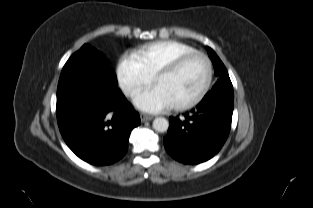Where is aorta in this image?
<instances>
[{
	"label": "aorta",
	"mask_w": 313,
	"mask_h": 208,
	"mask_svg": "<svg viewBox=\"0 0 313 208\" xmlns=\"http://www.w3.org/2000/svg\"><path fill=\"white\" fill-rule=\"evenodd\" d=\"M152 126L155 131L162 133L168 130L169 122L163 117H157L154 119Z\"/></svg>",
	"instance_id": "762f6f07"
}]
</instances>
